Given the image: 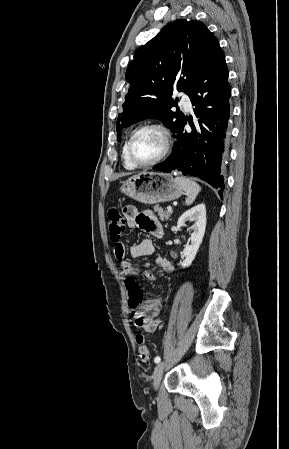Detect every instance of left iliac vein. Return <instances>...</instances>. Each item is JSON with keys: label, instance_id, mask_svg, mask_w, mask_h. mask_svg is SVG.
<instances>
[{"label": "left iliac vein", "instance_id": "left-iliac-vein-1", "mask_svg": "<svg viewBox=\"0 0 289 449\" xmlns=\"http://www.w3.org/2000/svg\"><path fill=\"white\" fill-rule=\"evenodd\" d=\"M165 367H166V363L165 362H161V363H159L155 367V370H154V373H153V387H154V389H158L160 381H161L163 373H164V370H165Z\"/></svg>", "mask_w": 289, "mask_h": 449}]
</instances>
